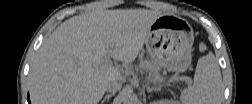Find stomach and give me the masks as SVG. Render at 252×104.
<instances>
[{
  "label": "stomach",
  "instance_id": "1",
  "mask_svg": "<svg viewBox=\"0 0 252 104\" xmlns=\"http://www.w3.org/2000/svg\"><path fill=\"white\" fill-rule=\"evenodd\" d=\"M194 32L182 18L162 15L151 25L145 40L151 61L172 72H184L191 64Z\"/></svg>",
  "mask_w": 252,
  "mask_h": 104
}]
</instances>
